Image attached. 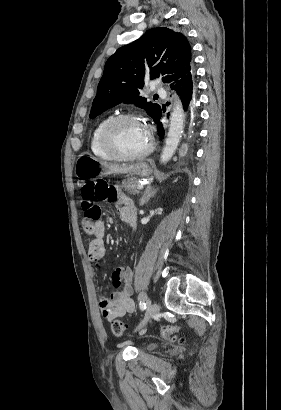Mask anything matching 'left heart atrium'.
<instances>
[{"label": "left heart atrium", "instance_id": "1", "mask_svg": "<svg viewBox=\"0 0 281 410\" xmlns=\"http://www.w3.org/2000/svg\"><path fill=\"white\" fill-rule=\"evenodd\" d=\"M145 127V130L147 131V133H148V129H147V127L146 126H144Z\"/></svg>", "mask_w": 281, "mask_h": 410}]
</instances>
